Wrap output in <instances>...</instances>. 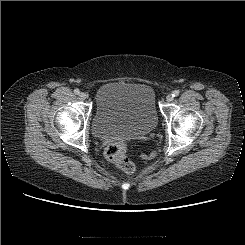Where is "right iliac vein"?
Returning a JSON list of instances; mask_svg holds the SVG:
<instances>
[{"instance_id": "1", "label": "right iliac vein", "mask_w": 245, "mask_h": 245, "mask_svg": "<svg viewBox=\"0 0 245 245\" xmlns=\"http://www.w3.org/2000/svg\"><path fill=\"white\" fill-rule=\"evenodd\" d=\"M79 96H80V98H81L82 100H85V99H87V97H88L87 94H86L85 92H81Z\"/></svg>"}]
</instances>
